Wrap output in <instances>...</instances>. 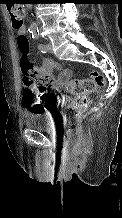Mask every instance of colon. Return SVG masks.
Returning a JSON list of instances; mask_svg holds the SVG:
<instances>
[{
  "label": "colon",
  "mask_w": 122,
  "mask_h": 218,
  "mask_svg": "<svg viewBox=\"0 0 122 218\" xmlns=\"http://www.w3.org/2000/svg\"><path fill=\"white\" fill-rule=\"evenodd\" d=\"M8 10L11 16L12 26L19 30L23 26L24 10L20 3L10 0ZM17 48L20 54V67L22 81L26 88L24 94V105L30 112H39L41 107L36 98L45 96L46 87L36 83L32 71V63L29 58L30 43L25 34H18ZM106 86V78L99 71L90 72L89 79H72L66 82V91L74 98L66 105L63 111L65 126L68 131L75 128L77 121L90 105V94L99 91Z\"/></svg>",
  "instance_id": "obj_1"
}]
</instances>
